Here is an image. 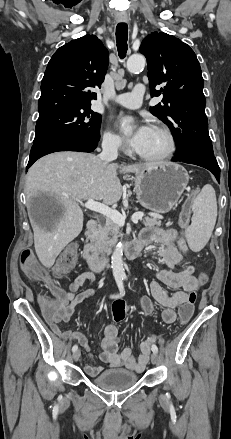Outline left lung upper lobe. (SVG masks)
I'll list each match as a JSON object with an SVG mask.
<instances>
[{"label":"left lung upper lobe","mask_w":231,"mask_h":439,"mask_svg":"<svg viewBox=\"0 0 231 439\" xmlns=\"http://www.w3.org/2000/svg\"><path fill=\"white\" fill-rule=\"evenodd\" d=\"M139 50L147 58L151 97L164 95L163 104L151 107L150 111L171 129L176 154L190 150L213 153L205 114L204 81L194 51L163 32L145 37Z\"/></svg>","instance_id":"1"}]
</instances>
